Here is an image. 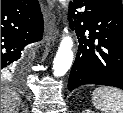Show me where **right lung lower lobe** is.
Wrapping results in <instances>:
<instances>
[{"label":"right lung lower lobe","instance_id":"right-lung-lower-lobe-1","mask_svg":"<svg viewBox=\"0 0 123 113\" xmlns=\"http://www.w3.org/2000/svg\"><path fill=\"white\" fill-rule=\"evenodd\" d=\"M42 34L43 18L37 0L1 4V69L19 66L24 47L40 41Z\"/></svg>","mask_w":123,"mask_h":113}]
</instances>
